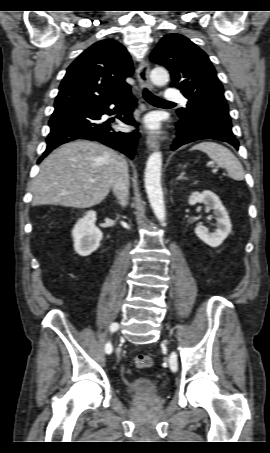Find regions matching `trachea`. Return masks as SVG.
I'll return each instance as SVG.
<instances>
[{"label":"trachea","instance_id":"1","mask_svg":"<svg viewBox=\"0 0 270 453\" xmlns=\"http://www.w3.org/2000/svg\"><path fill=\"white\" fill-rule=\"evenodd\" d=\"M143 96L144 98L153 105H166V104H174L173 102L166 101L164 99H161L155 95H153L150 91L147 89L143 90Z\"/></svg>","mask_w":270,"mask_h":453}]
</instances>
